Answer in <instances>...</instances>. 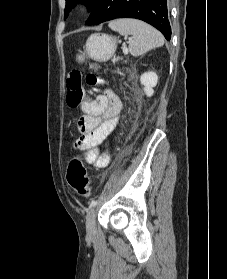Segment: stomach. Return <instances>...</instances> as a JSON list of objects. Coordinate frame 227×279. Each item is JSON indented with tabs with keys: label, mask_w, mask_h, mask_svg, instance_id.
<instances>
[{
	"label": "stomach",
	"mask_w": 227,
	"mask_h": 279,
	"mask_svg": "<svg viewBox=\"0 0 227 279\" xmlns=\"http://www.w3.org/2000/svg\"><path fill=\"white\" fill-rule=\"evenodd\" d=\"M118 40L107 34H92L86 41L85 51L77 55V59L83 62L86 57L98 62L108 61L115 53Z\"/></svg>",
	"instance_id": "0dacf381"
}]
</instances>
